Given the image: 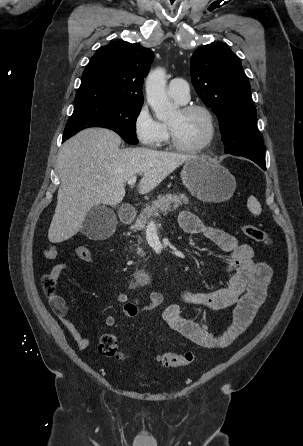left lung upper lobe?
Segmentation results:
<instances>
[{"mask_svg":"<svg viewBox=\"0 0 303 446\" xmlns=\"http://www.w3.org/2000/svg\"><path fill=\"white\" fill-rule=\"evenodd\" d=\"M192 84L217 115L225 153L265 161L257 112L240 59L225 44L206 45L191 57Z\"/></svg>","mask_w":303,"mask_h":446,"instance_id":"obj_1","label":"left lung upper lobe"}]
</instances>
